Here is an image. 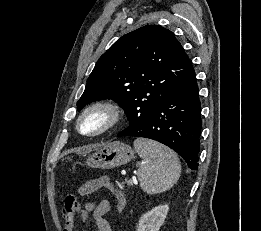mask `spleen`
Returning a JSON list of instances; mask_svg holds the SVG:
<instances>
[{
    "mask_svg": "<svg viewBox=\"0 0 261 231\" xmlns=\"http://www.w3.org/2000/svg\"><path fill=\"white\" fill-rule=\"evenodd\" d=\"M134 147L144 160L137 172L144 192L161 193L170 189L178 181L181 165L178 156L172 150L145 138H137Z\"/></svg>",
    "mask_w": 261,
    "mask_h": 231,
    "instance_id": "spleen-1",
    "label": "spleen"
}]
</instances>
